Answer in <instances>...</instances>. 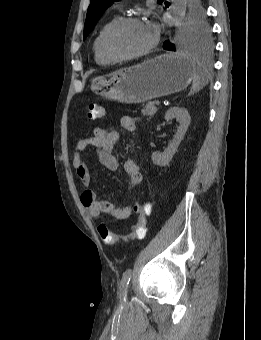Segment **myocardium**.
Masks as SVG:
<instances>
[{
    "instance_id": "myocardium-1",
    "label": "myocardium",
    "mask_w": 261,
    "mask_h": 340,
    "mask_svg": "<svg viewBox=\"0 0 261 340\" xmlns=\"http://www.w3.org/2000/svg\"><path fill=\"white\" fill-rule=\"evenodd\" d=\"M130 23H140V24H144L143 21L135 16H126V17H121L119 19H117L114 23H112L107 30L105 31V33L102 36V40H101V48L103 53L110 59H112L113 61H127V60H132V59H136L139 58L141 56H144L146 54H148L149 52H151L155 46L158 43L159 37L158 34L155 31H151L152 34V39L150 41V43L148 44V46H146L144 49L133 53V54H127V55H122V54H117L115 52H113L110 49L109 43H110V39L112 37V35L119 30L120 28L124 27L127 24Z\"/></svg>"
}]
</instances>
